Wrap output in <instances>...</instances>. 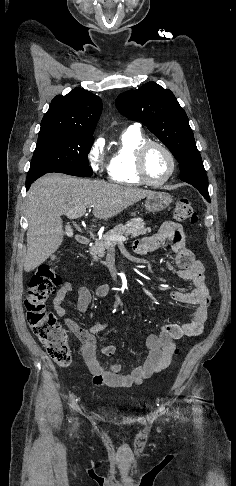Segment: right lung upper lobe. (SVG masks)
Instances as JSON below:
<instances>
[{"mask_svg":"<svg viewBox=\"0 0 236 486\" xmlns=\"http://www.w3.org/2000/svg\"><path fill=\"white\" fill-rule=\"evenodd\" d=\"M102 111L101 99L82 88L57 95L41 121L40 131L93 135Z\"/></svg>","mask_w":236,"mask_h":486,"instance_id":"cb5924a9","label":"right lung upper lobe"}]
</instances>
